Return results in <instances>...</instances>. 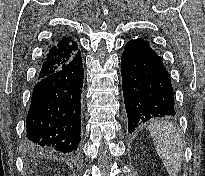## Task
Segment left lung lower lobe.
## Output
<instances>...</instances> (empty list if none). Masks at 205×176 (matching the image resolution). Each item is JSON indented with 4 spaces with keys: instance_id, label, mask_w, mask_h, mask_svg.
Returning <instances> with one entry per match:
<instances>
[{
    "instance_id": "1",
    "label": "left lung lower lobe",
    "mask_w": 205,
    "mask_h": 176,
    "mask_svg": "<svg viewBox=\"0 0 205 176\" xmlns=\"http://www.w3.org/2000/svg\"><path fill=\"white\" fill-rule=\"evenodd\" d=\"M121 65L129 133L149 119L176 114L170 75L147 41L127 42Z\"/></svg>"
}]
</instances>
